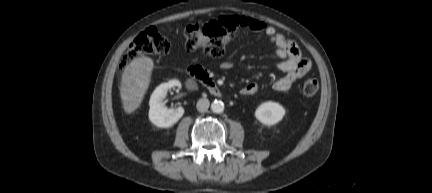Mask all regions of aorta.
<instances>
[{
    "label": "aorta",
    "mask_w": 432,
    "mask_h": 193,
    "mask_svg": "<svg viewBox=\"0 0 432 193\" xmlns=\"http://www.w3.org/2000/svg\"><path fill=\"white\" fill-rule=\"evenodd\" d=\"M211 110L214 113H222L224 111V103L220 100H215L212 104H211Z\"/></svg>",
    "instance_id": "762f6f07"
}]
</instances>
